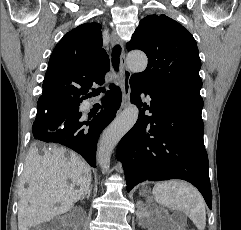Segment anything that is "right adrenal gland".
<instances>
[{
	"mask_svg": "<svg viewBox=\"0 0 241 230\" xmlns=\"http://www.w3.org/2000/svg\"><path fill=\"white\" fill-rule=\"evenodd\" d=\"M91 191H92V185H90L87 193L81 198V201L86 197L87 199L90 198V195H91Z\"/></svg>",
	"mask_w": 241,
	"mask_h": 230,
	"instance_id": "2a0ac1e0",
	"label": "right adrenal gland"
}]
</instances>
